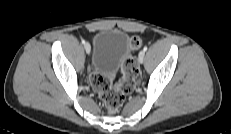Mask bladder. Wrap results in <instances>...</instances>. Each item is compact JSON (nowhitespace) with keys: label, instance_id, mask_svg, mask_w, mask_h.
Instances as JSON below:
<instances>
[{"label":"bladder","instance_id":"1","mask_svg":"<svg viewBox=\"0 0 231 134\" xmlns=\"http://www.w3.org/2000/svg\"><path fill=\"white\" fill-rule=\"evenodd\" d=\"M130 50L129 35L119 29L98 31L93 38L92 70L107 78L114 77Z\"/></svg>","mask_w":231,"mask_h":134}]
</instances>
